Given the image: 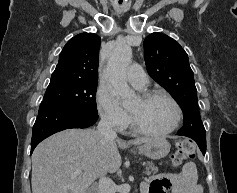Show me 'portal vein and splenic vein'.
I'll use <instances>...</instances> for the list:
<instances>
[{
    "instance_id": "1",
    "label": "portal vein and splenic vein",
    "mask_w": 237,
    "mask_h": 193,
    "mask_svg": "<svg viewBox=\"0 0 237 193\" xmlns=\"http://www.w3.org/2000/svg\"><path fill=\"white\" fill-rule=\"evenodd\" d=\"M81 173V170H76L75 172H73V176H77V175H79Z\"/></svg>"
}]
</instances>
